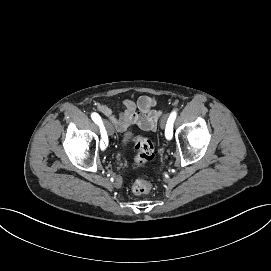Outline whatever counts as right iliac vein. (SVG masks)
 Segmentation results:
<instances>
[{
	"label": "right iliac vein",
	"instance_id": "right-iliac-vein-1",
	"mask_svg": "<svg viewBox=\"0 0 271 271\" xmlns=\"http://www.w3.org/2000/svg\"><path fill=\"white\" fill-rule=\"evenodd\" d=\"M103 125L106 129V132L109 135H112L113 134V127H112L111 123L109 121H103Z\"/></svg>",
	"mask_w": 271,
	"mask_h": 271
}]
</instances>
